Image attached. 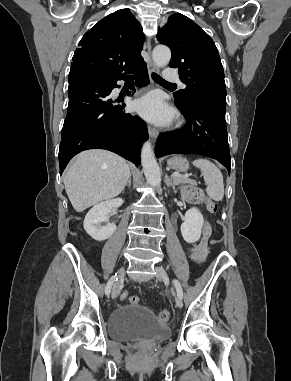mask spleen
Returning a JSON list of instances; mask_svg holds the SVG:
<instances>
[{
    "label": "spleen",
    "mask_w": 291,
    "mask_h": 381,
    "mask_svg": "<svg viewBox=\"0 0 291 381\" xmlns=\"http://www.w3.org/2000/svg\"><path fill=\"white\" fill-rule=\"evenodd\" d=\"M193 165L200 168L203 173L207 185V195L215 201H221L224 197V183L218 167L208 159L203 158L194 160Z\"/></svg>",
    "instance_id": "obj_1"
}]
</instances>
